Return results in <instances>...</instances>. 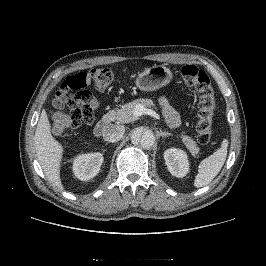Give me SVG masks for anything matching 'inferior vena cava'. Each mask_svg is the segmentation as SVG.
Segmentation results:
<instances>
[{"mask_svg": "<svg viewBox=\"0 0 266 266\" xmlns=\"http://www.w3.org/2000/svg\"><path fill=\"white\" fill-rule=\"evenodd\" d=\"M125 129L122 125H109L108 128L103 133V138L105 141L114 143L119 141L124 135Z\"/></svg>", "mask_w": 266, "mask_h": 266, "instance_id": "obj_1", "label": "inferior vena cava"}]
</instances>
